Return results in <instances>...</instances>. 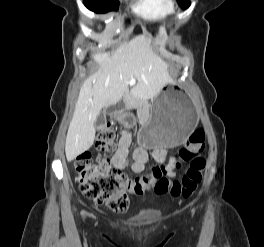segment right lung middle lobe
Segmentation results:
<instances>
[{"label":"right lung middle lobe","instance_id":"1","mask_svg":"<svg viewBox=\"0 0 264 247\" xmlns=\"http://www.w3.org/2000/svg\"><path fill=\"white\" fill-rule=\"evenodd\" d=\"M85 6L95 13H106L117 10L119 6L118 0H84Z\"/></svg>","mask_w":264,"mask_h":247}]
</instances>
